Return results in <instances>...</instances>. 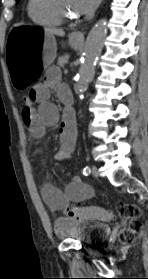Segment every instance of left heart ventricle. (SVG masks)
I'll use <instances>...</instances> for the list:
<instances>
[{
  "label": "left heart ventricle",
  "instance_id": "obj_1",
  "mask_svg": "<svg viewBox=\"0 0 148 279\" xmlns=\"http://www.w3.org/2000/svg\"><path fill=\"white\" fill-rule=\"evenodd\" d=\"M61 4L64 9L72 15H77L78 12L75 9L74 0H61Z\"/></svg>",
  "mask_w": 148,
  "mask_h": 279
}]
</instances>
